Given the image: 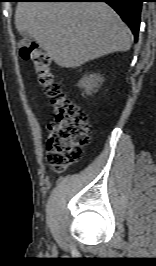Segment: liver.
<instances>
[{
  "instance_id": "liver-1",
  "label": "liver",
  "mask_w": 156,
  "mask_h": 266,
  "mask_svg": "<svg viewBox=\"0 0 156 266\" xmlns=\"http://www.w3.org/2000/svg\"><path fill=\"white\" fill-rule=\"evenodd\" d=\"M15 25L66 68L126 52L132 44L130 29L106 3L20 2Z\"/></svg>"
}]
</instances>
